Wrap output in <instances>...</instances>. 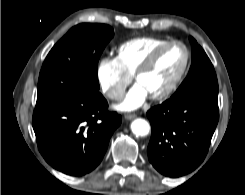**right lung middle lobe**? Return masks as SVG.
<instances>
[{"mask_svg": "<svg viewBox=\"0 0 245 195\" xmlns=\"http://www.w3.org/2000/svg\"><path fill=\"white\" fill-rule=\"evenodd\" d=\"M113 29L83 23L71 28L47 55L42 66L36 106L99 93L98 60Z\"/></svg>", "mask_w": 245, "mask_h": 195, "instance_id": "1", "label": "right lung middle lobe"}]
</instances>
